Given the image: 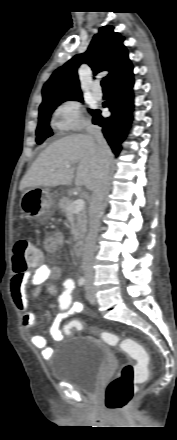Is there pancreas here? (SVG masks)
Listing matches in <instances>:
<instances>
[{
	"instance_id": "1",
	"label": "pancreas",
	"mask_w": 177,
	"mask_h": 440,
	"mask_svg": "<svg viewBox=\"0 0 177 440\" xmlns=\"http://www.w3.org/2000/svg\"><path fill=\"white\" fill-rule=\"evenodd\" d=\"M73 200L67 197H63L58 202V207L62 213H64L71 222H74L73 240H79L84 237L87 229V212L82 210L76 214L69 211V207L72 205Z\"/></svg>"
}]
</instances>
